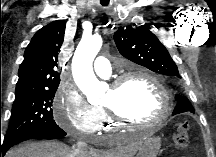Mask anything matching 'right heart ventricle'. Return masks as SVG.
I'll list each match as a JSON object with an SVG mask.
<instances>
[{
  "label": "right heart ventricle",
  "instance_id": "1",
  "mask_svg": "<svg viewBox=\"0 0 216 157\" xmlns=\"http://www.w3.org/2000/svg\"><path fill=\"white\" fill-rule=\"evenodd\" d=\"M103 121L99 129L109 130L114 127V123L110 119L109 115L105 110L102 109Z\"/></svg>",
  "mask_w": 216,
  "mask_h": 157
}]
</instances>
